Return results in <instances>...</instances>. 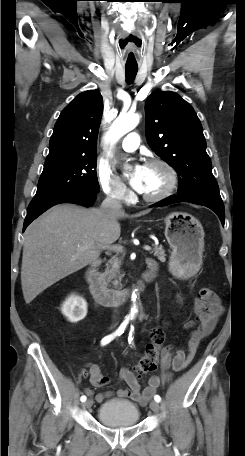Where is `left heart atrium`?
<instances>
[{
  "instance_id": "1",
  "label": "left heart atrium",
  "mask_w": 245,
  "mask_h": 456,
  "mask_svg": "<svg viewBox=\"0 0 245 456\" xmlns=\"http://www.w3.org/2000/svg\"><path fill=\"white\" fill-rule=\"evenodd\" d=\"M144 168V166L136 165L130 176L131 186L139 192H141L143 188Z\"/></svg>"
}]
</instances>
